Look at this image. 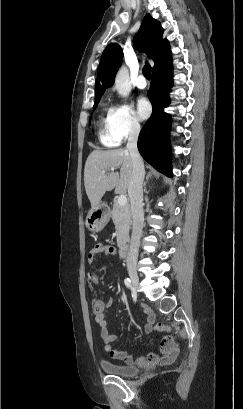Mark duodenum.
<instances>
[{"label": "duodenum", "mask_w": 243, "mask_h": 409, "mask_svg": "<svg viewBox=\"0 0 243 409\" xmlns=\"http://www.w3.org/2000/svg\"><path fill=\"white\" fill-rule=\"evenodd\" d=\"M128 253H129V247H128V245H126V244L120 245V247H119V255H120L122 258H126V257L128 256Z\"/></svg>", "instance_id": "duodenum-1"}]
</instances>
